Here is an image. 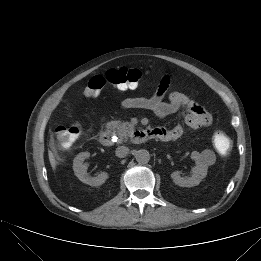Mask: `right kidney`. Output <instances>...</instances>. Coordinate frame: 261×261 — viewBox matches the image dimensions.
<instances>
[{
  "label": "right kidney",
  "instance_id": "1",
  "mask_svg": "<svg viewBox=\"0 0 261 261\" xmlns=\"http://www.w3.org/2000/svg\"><path fill=\"white\" fill-rule=\"evenodd\" d=\"M90 157L89 152L79 153L73 160V170L76 177L83 183L90 186H101L108 179L107 172H101L97 177H91L87 175V164L84 160Z\"/></svg>",
  "mask_w": 261,
  "mask_h": 261
}]
</instances>
